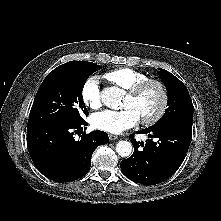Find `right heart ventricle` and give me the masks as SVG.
Returning a JSON list of instances; mask_svg holds the SVG:
<instances>
[{
	"instance_id": "1",
	"label": "right heart ventricle",
	"mask_w": 221,
	"mask_h": 221,
	"mask_svg": "<svg viewBox=\"0 0 221 221\" xmlns=\"http://www.w3.org/2000/svg\"><path fill=\"white\" fill-rule=\"evenodd\" d=\"M104 78L119 88L129 90L135 84L147 79L148 75L129 67H120L106 72Z\"/></svg>"
}]
</instances>
